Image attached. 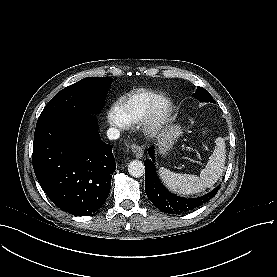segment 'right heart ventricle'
<instances>
[{
    "label": "right heart ventricle",
    "mask_w": 277,
    "mask_h": 277,
    "mask_svg": "<svg viewBox=\"0 0 277 277\" xmlns=\"http://www.w3.org/2000/svg\"><path fill=\"white\" fill-rule=\"evenodd\" d=\"M156 97L157 95L150 90L138 89L122 97L115 107L126 123L134 124L145 119L150 105Z\"/></svg>",
    "instance_id": "obj_1"
}]
</instances>
